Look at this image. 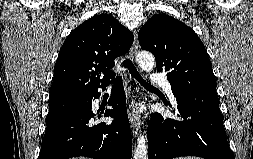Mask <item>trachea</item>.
<instances>
[{
	"instance_id": "3493384b",
	"label": "trachea",
	"mask_w": 253,
	"mask_h": 159,
	"mask_svg": "<svg viewBox=\"0 0 253 159\" xmlns=\"http://www.w3.org/2000/svg\"><path fill=\"white\" fill-rule=\"evenodd\" d=\"M122 65L125 68H128V70H129L130 74L132 75V77H134L142 86H144L146 88H154L151 84L146 82L141 77V75L138 73L137 69L135 68V66L133 65L132 61L129 58H125Z\"/></svg>"
}]
</instances>
